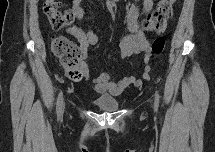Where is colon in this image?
Segmentation results:
<instances>
[{
  "label": "colon",
  "instance_id": "colon-1",
  "mask_svg": "<svg viewBox=\"0 0 215 152\" xmlns=\"http://www.w3.org/2000/svg\"><path fill=\"white\" fill-rule=\"evenodd\" d=\"M174 0H161L155 10L144 20V27L148 31L161 32L166 28L167 21L173 13ZM46 14L53 29L72 26L77 18L72 10H60V3L56 0H47L44 4ZM165 48V38H156L150 48L146 61H152ZM51 50L60 59L67 77L78 80L83 75L84 56L81 48L62 35H53Z\"/></svg>",
  "mask_w": 215,
  "mask_h": 152
}]
</instances>
